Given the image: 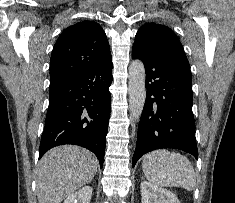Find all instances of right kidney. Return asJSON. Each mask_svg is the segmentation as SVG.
I'll return each mask as SVG.
<instances>
[{
	"label": "right kidney",
	"instance_id": "obj_1",
	"mask_svg": "<svg viewBox=\"0 0 235 203\" xmlns=\"http://www.w3.org/2000/svg\"><path fill=\"white\" fill-rule=\"evenodd\" d=\"M91 197L92 188L84 186L78 192L70 194L63 203H90Z\"/></svg>",
	"mask_w": 235,
	"mask_h": 203
}]
</instances>
